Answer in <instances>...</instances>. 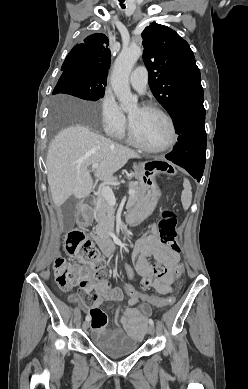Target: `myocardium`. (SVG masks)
<instances>
[{"label": "myocardium", "mask_w": 248, "mask_h": 389, "mask_svg": "<svg viewBox=\"0 0 248 389\" xmlns=\"http://www.w3.org/2000/svg\"><path fill=\"white\" fill-rule=\"evenodd\" d=\"M142 107L158 113L160 116H162L165 119V121L167 122V124L169 126V131H170L169 139L164 145L159 146V147H150V146L145 145L136 136L134 129H133V126H132V123H131V120L129 118L128 135H129L130 141L135 146L140 148L141 150H143L147 153H152V154L163 153V152L169 150L170 148H172L175 145L176 140H177L176 126H175V123H174L172 117L165 110H163L160 106H158L154 103H151V102L144 103L142 105Z\"/></svg>", "instance_id": "obj_1"}]
</instances>
